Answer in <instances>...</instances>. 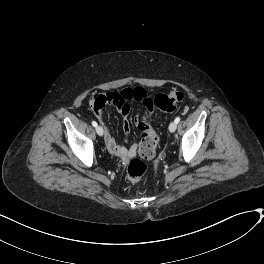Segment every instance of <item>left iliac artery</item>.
I'll use <instances>...</instances> for the list:
<instances>
[{"mask_svg":"<svg viewBox=\"0 0 264 264\" xmlns=\"http://www.w3.org/2000/svg\"><path fill=\"white\" fill-rule=\"evenodd\" d=\"M175 122L178 124L180 122V117H176Z\"/></svg>","mask_w":264,"mask_h":264,"instance_id":"44dca946","label":"left iliac artery"}]
</instances>
